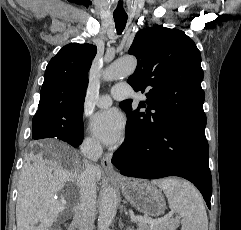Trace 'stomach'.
Masks as SVG:
<instances>
[{
    "instance_id": "0dacf381",
    "label": "stomach",
    "mask_w": 241,
    "mask_h": 230,
    "mask_svg": "<svg viewBox=\"0 0 241 230\" xmlns=\"http://www.w3.org/2000/svg\"><path fill=\"white\" fill-rule=\"evenodd\" d=\"M125 198L146 216L157 217L166 210L162 192L145 180H125L119 183Z\"/></svg>"
}]
</instances>
